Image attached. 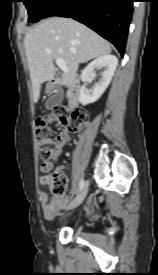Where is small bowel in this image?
I'll return each instance as SVG.
<instances>
[{"instance_id": "1", "label": "small bowel", "mask_w": 158, "mask_h": 275, "mask_svg": "<svg viewBox=\"0 0 158 275\" xmlns=\"http://www.w3.org/2000/svg\"><path fill=\"white\" fill-rule=\"evenodd\" d=\"M69 140H70L69 132L67 130H62L58 134V139L56 141L53 151L51 152L49 160L51 161L56 160L61 154L63 147L69 142ZM49 163H50L49 161H45L41 165V170L43 172L47 171L46 165ZM62 169L63 167H60L59 170H62ZM70 194L63 196L60 199H53L49 201L48 195L45 192H41L40 202H41L43 216L46 219H53L59 211H61L64 207H66Z\"/></svg>"}]
</instances>
